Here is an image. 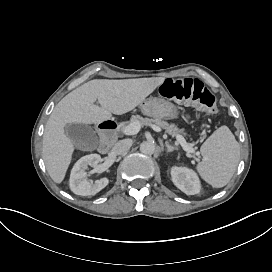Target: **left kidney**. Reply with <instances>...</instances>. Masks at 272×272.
Segmentation results:
<instances>
[{
    "label": "left kidney",
    "mask_w": 272,
    "mask_h": 272,
    "mask_svg": "<svg viewBox=\"0 0 272 272\" xmlns=\"http://www.w3.org/2000/svg\"><path fill=\"white\" fill-rule=\"evenodd\" d=\"M172 181L187 195H194L198 193L200 188L196 174L187 168L174 167L172 169Z\"/></svg>",
    "instance_id": "obj_1"
}]
</instances>
